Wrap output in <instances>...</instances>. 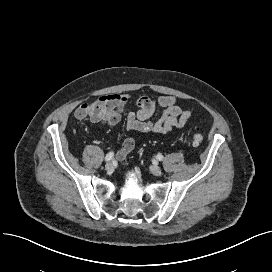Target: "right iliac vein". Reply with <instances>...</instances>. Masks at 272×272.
I'll return each instance as SVG.
<instances>
[{"mask_svg": "<svg viewBox=\"0 0 272 272\" xmlns=\"http://www.w3.org/2000/svg\"><path fill=\"white\" fill-rule=\"evenodd\" d=\"M115 169L114 167V164L111 163V162H108L106 165H105V170L109 173L113 172Z\"/></svg>", "mask_w": 272, "mask_h": 272, "instance_id": "obj_1", "label": "right iliac vein"}]
</instances>
